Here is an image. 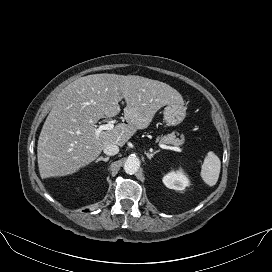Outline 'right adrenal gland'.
Wrapping results in <instances>:
<instances>
[{
  "label": "right adrenal gland",
  "instance_id": "obj_1",
  "mask_svg": "<svg viewBox=\"0 0 272 272\" xmlns=\"http://www.w3.org/2000/svg\"><path fill=\"white\" fill-rule=\"evenodd\" d=\"M109 159H110V157H106V158L99 157L95 162H96V163L99 162V161L107 162Z\"/></svg>",
  "mask_w": 272,
  "mask_h": 272
}]
</instances>
